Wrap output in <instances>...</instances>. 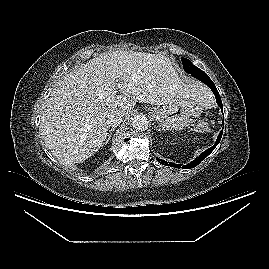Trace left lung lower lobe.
<instances>
[{
	"instance_id": "obj_1",
	"label": "left lung lower lobe",
	"mask_w": 269,
	"mask_h": 269,
	"mask_svg": "<svg viewBox=\"0 0 269 269\" xmlns=\"http://www.w3.org/2000/svg\"><path fill=\"white\" fill-rule=\"evenodd\" d=\"M191 75L193 77L197 78L198 80L202 81L203 83H205L212 90V92L215 95L216 102L219 105V107L222 109V112H223V106H222L220 95H219V93H218V91L216 89L215 84L208 77V75L204 71H202V70H198L197 72H194ZM222 134H223V130L219 133L215 144L211 148H209V149L205 150L204 152H202L199 155V157H197L195 160H193L191 163H189L187 165L175 164V163H171V162H167V161L161 160L159 158H157V160H158L159 163H161L163 165H166V166H170V167H175V168H181L182 167V168H186V169L194 168L201 161H203V159H205L215 149V147L218 145V143L221 140Z\"/></svg>"
}]
</instances>
